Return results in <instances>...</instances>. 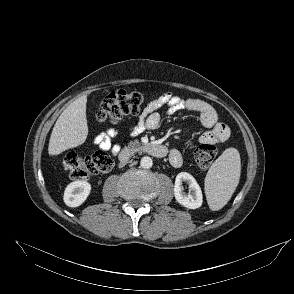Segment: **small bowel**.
<instances>
[{
	"label": "small bowel",
	"mask_w": 294,
	"mask_h": 294,
	"mask_svg": "<svg viewBox=\"0 0 294 294\" xmlns=\"http://www.w3.org/2000/svg\"><path fill=\"white\" fill-rule=\"evenodd\" d=\"M165 106L168 114L180 111L199 114L201 125L206 129L199 138L200 143L216 144L228 139L230 134L228 126L218 121L217 113L210 104L195 98L184 99L170 92L153 98L147 104L138 122L131 127L132 136H137L145 130L158 129L162 120L158 111ZM116 135L117 131L115 129H108L95 136L93 143L102 150H110L113 154H117L120 146L112 143V138ZM169 161L174 167H180L183 163V157L178 150L173 149L169 153Z\"/></svg>",
	"instance_id": "c3829d8e"
}]
</instances>
